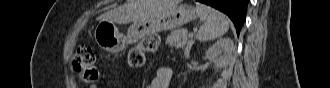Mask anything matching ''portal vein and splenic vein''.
Listing matches in <instances>:
<instances>
[{"label": "portal vein and splenic vein", "mask_w": 330, "mask_h": 88, "mask_svg": "<svg viewBox=\"0 0 330 88\" xmlns=\"http://www.w3.org/2000/svg\"><path fill=\"white\" fill-rule=\"evenodd\" d=\"M189 38H193V33H189Z\"/></svg>", "instance_id": "1"}]
</instances>
